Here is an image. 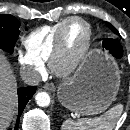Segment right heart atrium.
<instances>
[{"instance_id": "d8ad5b80", "label": "right heart atrium", "mask_w": 130, "mask_h": 130, "mask_svg": "<svg viewBox=\"0 0 130 130\" xmlns=\"http://www.w3.org/2000/svg\"><path fill=\"white\" fill-rule=\"evenodd\" d=\"M17 63L31 79H37L44 73V63L27 52L18 51Z\"/></svg>"}]
</instances>
